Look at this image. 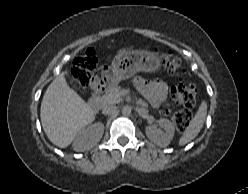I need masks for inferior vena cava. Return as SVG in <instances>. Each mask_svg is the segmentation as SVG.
I'll use <instances>...</instances> for the list:
<instances>
[{
  "mask_svg": "<svg viewBox=\"0 0 248 194\" xmlns=\"http://www.w3.org/2000/svg\"><path fill=\"white\" fill-rule=\"evenodd\" d=\"M117 110L115 105H105L102 109V113L105 115H109L114 113Z\"/></svg>",
  "mask_w": 248,
  "mask_h": 194,
  "instance_id": "inferior-vena-cava-1",
  "label": "inferior vena cava"
}]
</instances>
